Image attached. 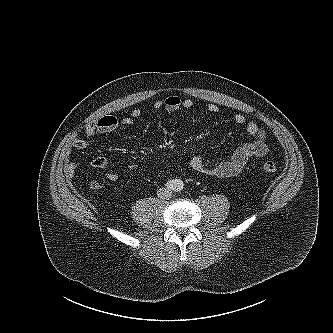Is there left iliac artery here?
Returning <instances> with one entry per match:
<instances>
[{
	"label": "left iliac artery",
	"mask_w": 333,
	"mask_h": 333,
	"mask_svg": "<svg viewBox=\"0 0 333 333\" xmlns=\"http://www.w3.org/2000/svg\"><path fill=\"white\" fill-rule=\"evenodd\" d=\"M175 188L177 191H180L183 188V182L181 180H178Z\"/></svg>",
	"instance_id": "obj_1"
}]
</instances>
